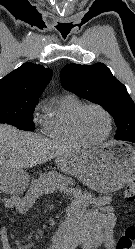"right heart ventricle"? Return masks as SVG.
Here are the masks:
<instances>
[{
	"label": "right heart ventricle",
	"instance_id": "right-heart-ventricle-1",
	"mask_svg": "<svg viewBox=\"0 0 135 249\" xmlns=\"http://www.w3.org/2000/svg\"><path fill=\"white\" fill-rule=\"evenodd\" d=\"M82 105L83 102L73 94L54 99L46 106L43 122L45 134L62 144H85L76 134L73 126V117Z\"/></svg>",
	"mask_w": 135,
	"mask_h": 249
}]
</instances>
